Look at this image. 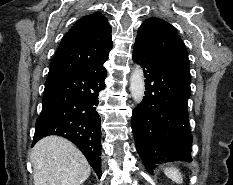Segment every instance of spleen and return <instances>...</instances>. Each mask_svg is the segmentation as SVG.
Returning <instances> with one entry per match:
<instances>
[{"mask_svg":"<svg viewBox=\"0 0 233 185\" xmlns=\"http://www.w3.org/2000/svg\"><path fill=\"white\" fill-rule=\"evenodd\" d=\"M165 175L173 180L174 182L181 184L183 182L182 174L180 173L179 169L176 167L165 168L164 169Z\"/></svg>","mask_w":233,"mask_h":185,"instance_id":"obj_1","label":"spleen"}]
</instances>
